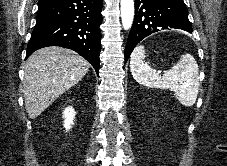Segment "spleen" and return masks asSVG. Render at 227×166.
<instances>
[{
  "instance_id": "obj_1",
  "label": "spleen",
  "mask_w": 227,
  "mask_h": 166,
  "mask_svg": "<svg viewBox=\"0 0 227 166\" xmlns=\"http://www.w3.org/2000/svg\"><path fill=\"white\" fill-rule=\"evenodd\" d=\"M144 58L145 51L142 45L137 46L130 57L131 73L139 84L149 88L169 89L175 93L183 106L194 105L200 83L198 64L191 54L182 55L180 60L162 76L144 64Z\"/></svg>"
}]
</instances>
